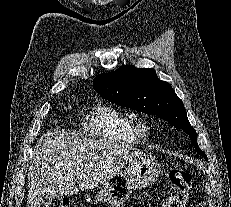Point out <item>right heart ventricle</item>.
Returning a JSON list of instances; mask_svg holds the SVG:
<instances>
[{
	"label": "right heart ventricle",
	"instance_id": "obj_1",
	"mask_svg": "<svg viewBox=\"0 0 231 207\" xmlns=\"http://www.w3.org/2000/svg\"><path fill=\"white\" fill-rule=\"evenodd\" d=\"M83 129L97 138L128 143H137L142 137L130 114L104 102L95 104L84 115Z\"/></svg>",
	"mask_w": 231,
	"mask_h": 207
}]
</instances>
